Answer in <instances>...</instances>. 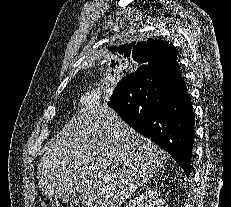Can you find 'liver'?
Wrapping results in <instances>:
<instances>
[{
  "label": "liver",
  "mask_w": 231,
  "mask_h": 207,
  "mask_svg": "<svg viewBox=\"0 0 231 207\" xmlns=\"http://www.w3.org/2000/svg\"><path fill=\"white\" fill-rule=\"evenodd\" d=\"M44 151L40 192L55 198L75 192L88 207H121L168 158L106 104L78 111Z\"/></svg>",
  "instance_id": "6515ba94"
}]
</instances>
